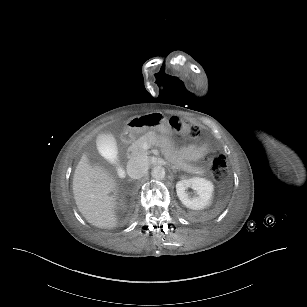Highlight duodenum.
<instances>
[{
    "mask_svg": "<svg viewBox=\"0 0 307 307\" xmlns=\"http://www.w3.org/2000/svg\"><path fill=\"white\" fill-rule=\"evenodd\" d=\"M122 133L124 134V136H123V142L124 143H122L121 145H120V151H119V154L121 155V156H124L125 154H126V149H127V143L129 142V140H130V137H129V135L132 133V128L130 127V126H124L123 128H122Z\"/></svg>",
    "mask_w": 307,
    "mask_h": 307,
    "instance_id": "1",
    "label": "duodenum"
}]
</instances>
